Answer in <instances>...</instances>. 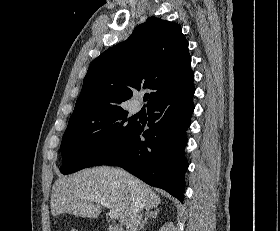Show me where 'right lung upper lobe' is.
Returning <instances> with one entry per match:
<instances>
[{
  "label": "right lung upper lobe",
  "instance_id": "1",
  "mask_svg": "<svg viewBox=\"0 0 280 231\" xmlns=\"http://www.w3.org/2000/svg\"><path fill=\"white\" fill-rule=\"evenodd\" d=\"M188 42L179 24L149 17L124 42L90 65L70 120L95 119L124 111L133 92L151 89L153 102L193 85Z\"/></svg>",
  "mask_w": 280,
  "mask_h": 231
}]
</instances>
